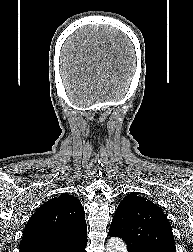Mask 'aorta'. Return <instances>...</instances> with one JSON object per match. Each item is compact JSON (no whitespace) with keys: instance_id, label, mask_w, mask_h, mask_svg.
Masks as SVG:
<instances>
[{"instance_id":"aorta-1","label":"aorta","mask_w":193,"mask_h":252,"mask_svg":"<svg viewBox=\"0 0 193 252\" xmlns=\"http://www.w3.org/2000/svg\"><path fill=\"white\" fill-rule=\"evenodd\" d=\"M106 252H127V246L120 238H111L107 242Z\"/></svg>"}]
</instances>
